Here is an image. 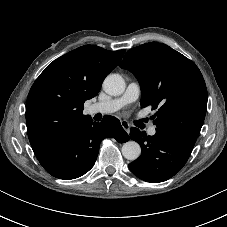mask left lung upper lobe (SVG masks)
Returning a JSON list of instances; mask_svg holds the SVG:
<instances>
[{
    "label": "left lung upper lobe",
    "instance_id": "obj_1",
    "mask_svg": "<svg viewBox=\"0 0 227 227\" xmlns=\"http://www.w3.org/2000/svg\"><path fill=\"white\" fill-rule=\"evenodd\" d=\"M119 66L137 77L141 106L157 109L152 116L156 130L194 147L208 99L195 63L165 44L150 42L130 49Z\"/></svg>",
    "mask_w": 227,
    "mask_h": 227
}]
</instances>
